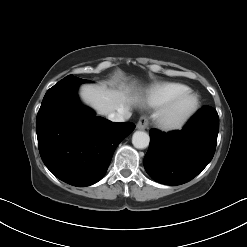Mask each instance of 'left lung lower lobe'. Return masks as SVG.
I'll return each instance as SVG.
<instances>
[{
  "label": "left lung lower lobe",
  "mask_w": 247,
  "mask_h": 247,
  "mask_svg": "<svg viewBox=\"0 0 247 247\" xmlns=\"http://www.w3.org/2000/svg\"><path fill=\"white\" fill-rule=\"evenodd\" d=\"M219 117L210 106L202 107L181 131L150 130L144 157L146 172L165 185H181L197 176L212 160L217 144Z\"/></svg>",
  "instance_id": "1"
}]
</instances>
